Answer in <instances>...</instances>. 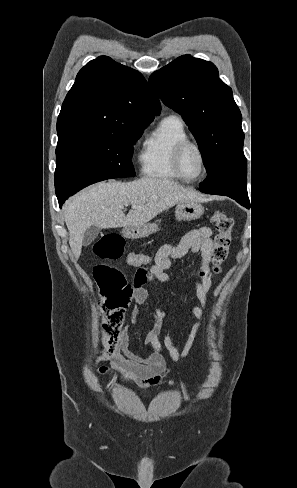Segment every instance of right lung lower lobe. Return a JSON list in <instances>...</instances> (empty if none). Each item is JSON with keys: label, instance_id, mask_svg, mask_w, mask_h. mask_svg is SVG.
<instances>
[{"label": "right lung lower lobe", "instance_id": "right-lung-lower-lobe-1", "mask_svg": "<svg viewBox=\"0 0 297 488\" xmlns=\"http://www.w3.org/2000/svg\"><path fill=\"white\" fill-rule=\"evenodd\" d=\"M65 200H66L65 198L58 199L60 207H61V206H62V204L65 202Z\"/></svg>", "mask_w": 297, "mask_h": 488}]
</instances>
